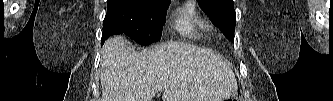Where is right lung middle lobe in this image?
<instances>
[{
	"mask_svg": "<svg viewBox=\"0 0 333 101\" xmlns=\"http://www.w3.org/2000/svg\"><path fill=\"white\" fill-rule=\"evenodd\" d=\"M171 0H107L108 37L126 34L142 45L159 41Z\"/></svg>",
	"mask_w": 333,
	"mask_h": 101,
	"instance_id": "dd1d6c3e",
	"label": "right lung middle lobe"
}]
</instances>
